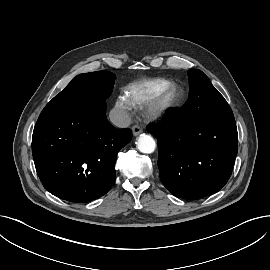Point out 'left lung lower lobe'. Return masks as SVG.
I'll return each mask as SVG.
<instances>
[{"mask_svg": "<svg viewBox=\"0 0 270 270\" xmlns=\"http://www.w3.org/2000/svg\"><path fill=\"white\" fill-rule=\"evenodd\" d=\"M147 130L158 139L160 179L173 195L203 198L229 180L238 146L233 115L203 117L188 99Z\"/></svg>", "mask_w": 270, "mask_h": 270, "instance_id": "left-lung-lower-lobe-1", "label": "left lung lower lobe"}]
</instances>
